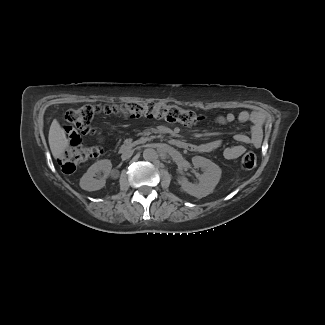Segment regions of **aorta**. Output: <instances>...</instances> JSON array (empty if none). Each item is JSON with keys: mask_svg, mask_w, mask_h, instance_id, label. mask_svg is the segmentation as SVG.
Wrapping results in <instances>:
<instances>
[{"mask_svg": "<svg viewBox=\"0 0 325 325\" xmlns=\"http://www.w3.org/2000/svg\"><path fill=\"white\" fill-rule=\"evenodd\" d=\"M143 158L147 161H153L157 158V152L153 148H146L143 151Z\"/></svg>", "mask_w": 325, "mask_h": 325, "instance_id": "aorta-1", "label": "aorta"}]
</instances>
